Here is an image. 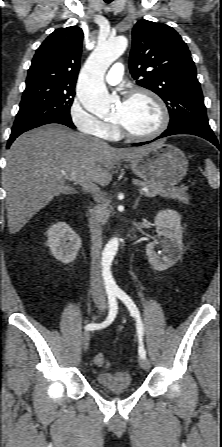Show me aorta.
<instances>
[{
	"label": "aorta",
	"instance_id": "1",
	"mask_svg": "<svg viewBox=\"0 0 222 447\" xmlns=\"http://www.w3.org/2000/svg\"><path fill=\"white\" fill-rule=\"evenodd\" d=\"M127 45L125 36H117L99 43L81 71L77 96L83 107L96 116L107 115L114 106L115 100L105 87L104 75L108 67L124 53ZM118 246V238H113L106 244L103 252L106 262L113 260ZM107 277L112 279L109 272Z\"/></svg>",
	"mask_w": 222,
	"mask_h": 447
}]
</instances>
